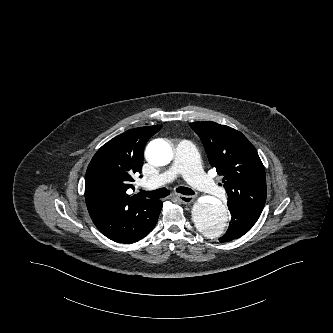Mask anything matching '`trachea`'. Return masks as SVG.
<instances>
[{
	"label": "trachea",
	"instance_id": "trachea-1",
	"mask_svg": "<svg viewBox=\"0 0 333 333\" xmlns=\"http://www.w3.org/2000/svg\"><path fill=\"white\" fill-rule=\"evenodd\" d=\"M178 193H181L183 195H194V191L187 187H178L176 189ZM141 196H146L152 199H160L164 198L169 195V191L166 188H160L154 191H144L142 190L140 193Z\"/></svg>",
	"mask_w": 333,
	"mask_h": 333
}]
</instances>
